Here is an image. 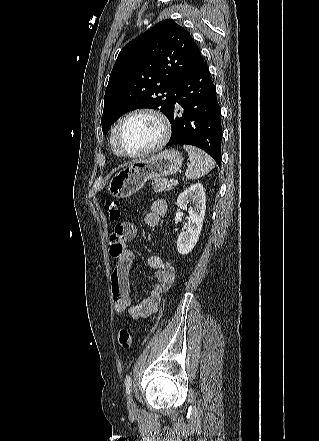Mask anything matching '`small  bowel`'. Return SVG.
Wrapping results in <instances>:
<instances>
[{"label": "small bowel", "mask_w": 319, "mask_h": 441, "mask_svg": "<svg viewBox=\"0 0 319 441\" xmlns=\"http://www.w3.org/2000/svg\"><path fill=\"white\" fill-rule=\"evenodd\" d=\"M167 204L163 199L155 200L144 217L146 225L156 227L160 218L165 215ZM137 237V229L133 223L123 222L116 225L110 237L109 251L116 258V265L111 274V292L114 311L122 314L125 311L134 319L147 318L154 314L160 304L161 295L173 283V267L159 255L148 257V265L155 271L157 283L150 289L148 295L134 304L130 298V271L135 261V254L127 247V243Z\"/></svg>", "instance_id": "obj_1"}]
</instances>
